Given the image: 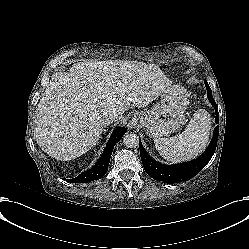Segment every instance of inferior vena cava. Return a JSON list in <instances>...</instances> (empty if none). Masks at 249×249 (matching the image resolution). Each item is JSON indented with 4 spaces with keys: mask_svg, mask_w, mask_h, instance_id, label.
<instances>
[{
    "mask_svg": "<svg viewBox=\"0 0 249 249\" xmlns=\"http://www.w3.org/2000/svg\"><path fill=\"white\" fill-rule=\"evenodd\" d=\"M118 119V116L115 113H110L107 118L104 119L103 125L106 127L107 125L113 123Z\"/></svg>",
    "mask_w": 249,
    "mask_h": 249,
    "instance_id": "inferior-vena-cava-1",
    "label": "inferior vena cava"
}]
</instances>
